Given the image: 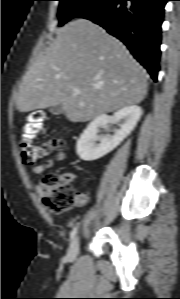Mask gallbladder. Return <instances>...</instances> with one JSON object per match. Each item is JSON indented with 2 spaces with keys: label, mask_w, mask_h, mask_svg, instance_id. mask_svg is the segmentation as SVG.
<instances>
[{
  "label": "gallbladder",
  "mask_w": 180,
  "mask_h": 299,
  "mask_svg": "<svg viewBox=\"0 0 180 299\" xmlns=\"http://www.w3.org/2000/svg\"><path fill=\"white\" fill-rule=\"evenodd\" d=\"M50 112L53 115H59V114L63 113V106L61 104L53 106V107L50 108Z\"/></svg>",
  "instance_id": "gallbladder-1"
}]
</instances>
